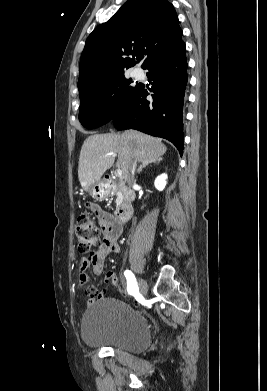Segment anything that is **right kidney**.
Returning <instances> with one entry per match:
<instances>
[{
  "label": "right kidney",
  "instance_id": "1",
  "mask_svg": "<svg viewBox=\"0 0 267 391\" xmlns=\"http://www.w3.org/2000/svg\"><path fill=\"white\" fill-rule=\"evenodd\" d=\"M166 179H167V175L166 174H161L160 176H158L155 179L154 185H155L157 190L162 191L165 188L166 183H167Z\"/></svg>",
  "mask_w": 267,
  "mask_h": 391
}]
</instances>
